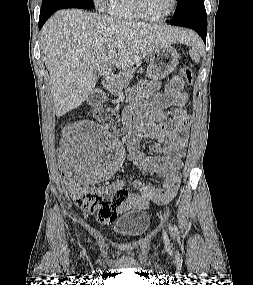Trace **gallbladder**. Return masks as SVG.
Returning a JSON list of instances; mask_svg holds the SVG:
<instances>
[{
	"instance_id": "obj_1",
	"label": "gallbladder",
	"mask_w": 253,
	"mask_h": 285,
	"mask_svg": "<svg viewBox=\"0 0 253 285\" xmlns=\"http://www.w3.org/2000/svg\"><path fill=\"white\" fill-rule=\"evenodd\" d=\"M98 75H99V73H98L97 69L95 68V70H94V76L97 78Z\"/></svg>"
}]
</instances>
